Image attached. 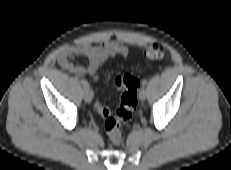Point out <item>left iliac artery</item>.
<instances>
[{
    "label": "left iliac artery",
    "mask_w": 231,
    "mask_h": 170,
    "mask_svg": "<svg viewBox=\"0 0 231 170\" xmlns=\"http://www.w3.org/2000/svg\"><path fill=\"white\" fill-rule=\"evenodd\" d=\"M147 83H148V81L144 79V80L142 81V86H143V87L146 86Z\"/></svg>",
    "instance_id": "44dca946"
}]
</instances>
